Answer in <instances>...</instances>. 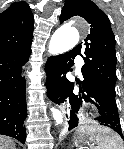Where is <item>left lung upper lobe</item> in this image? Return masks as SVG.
<instances>
[{"label":"left lung upper lobe","mask_w":124,"mask_h":149,"mask_svg":"<svg viewBox=\"0 0 124 149\" xmlns=\"http://www.w3.org/2000/svg\"><path fill=\"white\" fill-rule=\"evenodd\" d=\"M76 15L83 17L90 24L91 29L86 39L72 51L84 59L85 65L82 70L85 76L115 94L116 41L110 21L91 0H66L60 22Z\"/></svg>","instance_id":"left-lung-upper-lobe-1"}]
</instances>
